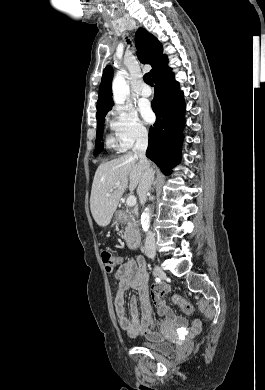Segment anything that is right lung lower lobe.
<instances>
[{"mask_svg": "<svg viewBox=\"0 0 265 390\" xmlns=\"http://www.w3.org/2000/svg\"><path fill=\"white\" fill-rule=\"evenodd\" d=\"M154 82L152 109L156 114V122L149 129L146 156L163 174L169 175L181 159L185 103L183 92L180 91L178 82L174 80L171 68L162 70L154 78Z\"/></svg>", "mask_w": 265, "mask_h": 390, "instance_id": "obj_1", "label": "right lung lower lobe"}]
</instances>
